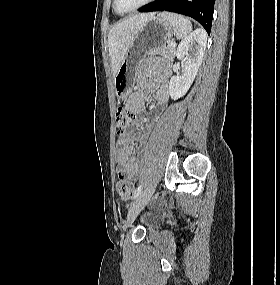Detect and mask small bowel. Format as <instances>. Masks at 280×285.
<instances>
[{"label": "small bowel", "mask_w": 280, "mask_h": 285, "mask_svg": "<svg viewBox=\"0 0 280 285\" xmlns=\"http://www.w3.org/2000/svg\"><path fill=\"white\" fill-rule=\"evenodd\" d=\"M169 70H163L159 75L152 77V72L145 71L142 79L141 89L132 94L126 101V108L139 112L144 105V98L147 92H154L155 101L158 104H165L169 97ZM153 127V122L146 124V131L149 132ZM131 134H122L118 139L120 145L117 151V174L119 177L136 179L139 173L138 162L135 158V146L130 139Z\"/></svg>", "instance_id": "small-bowel-1"}]
</instances>
